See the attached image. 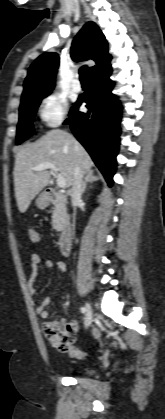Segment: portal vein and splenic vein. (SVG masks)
<instances>
[{"mask_svg": "<svg viewBox=\"0 0 165 419\" xmlns=\"http://www.w3.org/2000/svg\"><path fill=\"white\" fill-rule=\"evenodd\" d=\"M45 169H50L56 177L57 186L60 188H64L66 186V180L63 178L59 173L56 166L52 163L45 162L38 164L34 167V171H41Z\"/></svg>", "mask_w": 165, "mask_h": 419, "instance_id": "1", "label": "portal vein and splenic vein"}]
</instances>
